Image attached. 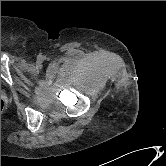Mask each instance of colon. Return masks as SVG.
I'll list each match as a JSON object with an SVG mask.
<instances>
[{
  "instance_id": "5ec220e1",
  "label": "colon",
  "mask_w": 166,
  "mask_h": 166,
  "mask_svg": "<svg viewBox=\"0 0 166 166\" xmlns=\"http://www.w3.org/2000/svg\"><path fill=\"white\" fill-rule=\"evenodd\" d=\"M4 110V101L1 99V113L3 112Z\"/></svg>"
}]
</instances>
